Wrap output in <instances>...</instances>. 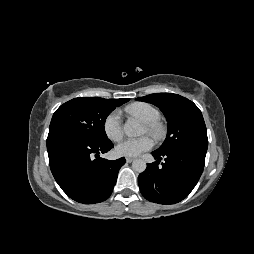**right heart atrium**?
I'll list each match as a JSON object with an SVG mask.
<instances>
[{
  "label": "right heart atrium",
  "mask_w": 254,
  "mask_h": 254,
  "mask_svg": "<svg viewBox=\"0 0 254 254\" xmlns=\"http://www.w3.org/2000/svg\"><path fill=\"white\" fill-rule=\"evenodd\" d=\"M103 130L112 141H119L123 136L122 118L119 111L110 112L103 121Z\"/></svg>",
  "instance_id": "right-heart-atrium-1"
}]
</instances>
